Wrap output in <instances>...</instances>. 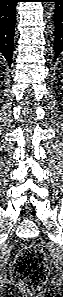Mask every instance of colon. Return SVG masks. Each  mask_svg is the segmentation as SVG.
Returning a JSON list of instances; mask_svg holds the SVG:
<instances>
[{"instance_id":"5ec220e1","label":"colon","mask_w":63,"mask_h":297,"mask_svg":"<svg viewBox=\"0 0 63 297\" xmlns=\"http://www.w3.org/2000/svg\"><path fill=\"white\" fill-rule=\"evenodd\" d=\"M47 274L44 252L33 245L21 250L12 268L13 280L27 292L37 291L46 281Z\"/></svg>"}]
</instances>
